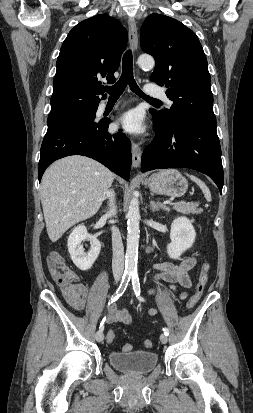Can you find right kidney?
Here are the masks:
<instances>
[{
	"label": "right kidney",
	"instance_id": "1",
	"mask_svg": "<svg viewBox=\"0 0 253 413\" xmlns=\"http://www.w3.org/2000/svg\"><path fill=\"white\" fill-rule=\"evenodd\" d=\"M85 240H89L91 244L87 254L81 245L82 241ZM67 246L71 260L82 271H87L92 267L101 250L100 242L95 236L87 232L84 225H79L72 230L68 237Z\"/></svg>",
	"mask_w": 253,
	"mask_h": 413
}]
</instances>
